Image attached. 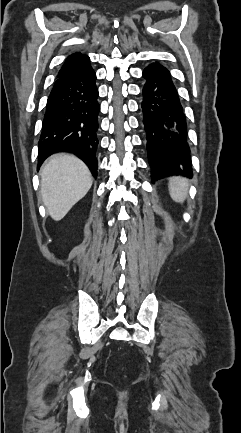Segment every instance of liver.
Segmentation results:
<instances>
[{
    "mask_svg": "<svg viewBox=\"0 0 241 433\" xmlns=\"http://www.w3.org/2000/svg\"><path fill=\"white\" fill-rule=\"evenodd\" d=\"M41 195L48 214L59 221L92 186L87 166L71 154L51 156L40 171Z\"/></svg>",
    "mask_w": 241,
    "mask_h": 433,
    "instance_id": "1",
    "label": "liver"
}]
</instances>
